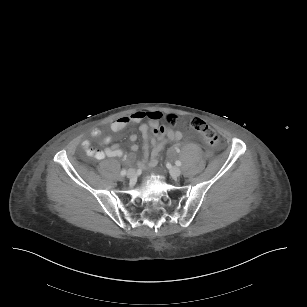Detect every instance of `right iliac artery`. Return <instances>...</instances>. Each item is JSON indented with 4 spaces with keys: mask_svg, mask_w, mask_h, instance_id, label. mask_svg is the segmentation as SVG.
<instances>
[{
    "mask_svg": "<svg viewBox=\"0 0 307 307\" xmlns=\"http://www.w3.org/2000/svg\"><path fill=\"white\" fill-rule=\"evenodd\" d=\"M126 173H127V171H126L125 169L121 170V172H120V174H121L122 176H125Z\"/></svg>",
    "mask_w": 307,
    "mask_h": 307,
    "instance_id": "82829eb1",
    "label": "right iliac artery"
}]
</instances>
